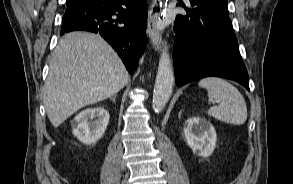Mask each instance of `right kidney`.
I'll list each match as a JSON object with an SVG mask.
<instances>
[{
  "mask_svg": "<svg viewBox=\"0 0 293 184\" xmlns=\"http://www.w3.org/2000/svg\"><path fill=\"white\" fill-rule=\"evenodd\" d=\"M109 122V113L103 107L86 109L72 121V132L77 139L86 144H95L105 133Z\"/></svg>",
  "mask_w": 293,
  "mask_h": 184,
  "instance_id": "1",
  "label": "right kidney"
}]
</instances>
